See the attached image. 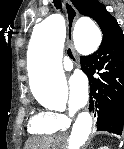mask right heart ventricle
<instances>
[{"label": "right heart ventricle", "mask_w": 124, "mask_h": 149, "mask_svg": "<svg viewBox=\"0 0 124 149\" xmlns=\"http://www.w3.org/2000/svg\"><path fill=\"white\" fill-rule=\"evenodd\" d=\"M63 128L52 113L41 112L30 118L28 131L37 136H51Z\"/></svg>", "instance_id": "right-heart-ventricle-1"}]
</instances>
